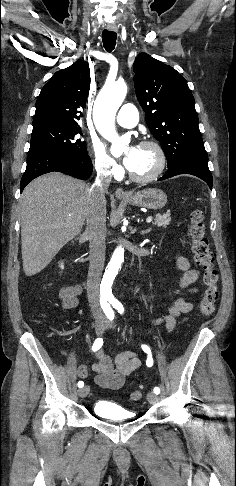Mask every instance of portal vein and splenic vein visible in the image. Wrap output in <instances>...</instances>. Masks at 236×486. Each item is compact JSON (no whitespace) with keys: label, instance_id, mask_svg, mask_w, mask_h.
I'll return each instance as SVG.
<instances>
[{"label":"portal vein and splenic vein","instance_id":"18ae733b","mask_svg":"<svg viewBox=\"0 0 236 486\" xmlns=\"http://www.w3.org/2000/svg\"><path fill=\"white\" fill-rule=\"evenodd\" d=\"M151 221H152V217L151 216L146 219V222L147 223H150Z\"/></svg>","mask_w":236,"mask_h":486}]
</instances>
